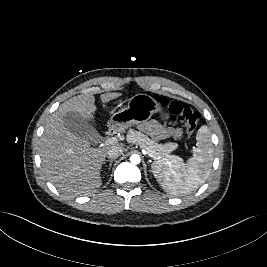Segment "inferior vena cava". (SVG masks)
Instances as JSON below:
<instances>
[{
	"label": "inferior vena cava",
	"mask_w": 267,
	"mask_h": 267,
	"mask_svg": "<svg viewBox=\"0 0 267 267\" xmlns=\"http://www.w3.org/2000/svg\"><path fill=\"white\" fill-rule=\"evenodd\" d=\"M123 153V149L118 146L111 147L107 151V157L110 159H116Z\"/></svg>",
	"instance_id": "1"
}]
</instances>
